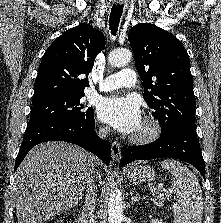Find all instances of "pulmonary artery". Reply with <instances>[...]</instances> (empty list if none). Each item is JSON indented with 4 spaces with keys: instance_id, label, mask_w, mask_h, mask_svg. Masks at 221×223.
Returning a JSON list of instances; mask_svg holds the SVG:
<instances>
[{
    "instance_id": "obj_1",
    "label": "pulmonary artery",
    "mask_w": 221,
    "mask_h": 223,
    "mask_svg": "<svg viewBox=\"0 0 221 223\" xmlns=\"http://www.w3.org/2000/svg\"><path fill=\"white\" fill-rule=\"evenodd\" d=\"M136 72L125 68L115 74L106 76L99 82L100 91H110L120 87H131L136 84Z\"/></svg>"
}]
</instances>
